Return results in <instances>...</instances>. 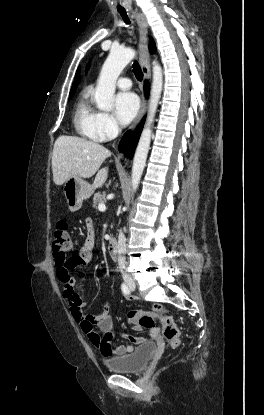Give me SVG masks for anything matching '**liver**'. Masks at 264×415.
I'll use <instances>...</instances> for the list:
<instances>
[{
  "instance_id": "liver-1",
  "label": "liver",
  "mask_w": 264,
  "mask_h": 415,
  "mask_svg": "<svg viewBox=\"0 0 264 415\" xmlns=\"http://www.w3.org/2000/svg\"><path fill=\"white\" fill-rule=\"evenodd\" d=\"M110 156L111 152L99 143L62 135L53 148L54 183L60 186L70 177L90 178L97 173L93 188L102 187L108 177V167L100 169V166Z\"/></svg>"
}]
</instances>
